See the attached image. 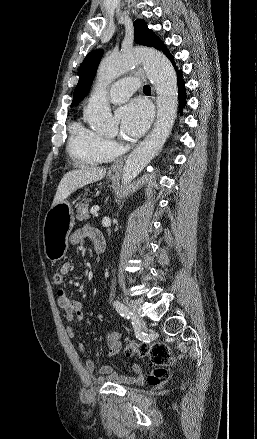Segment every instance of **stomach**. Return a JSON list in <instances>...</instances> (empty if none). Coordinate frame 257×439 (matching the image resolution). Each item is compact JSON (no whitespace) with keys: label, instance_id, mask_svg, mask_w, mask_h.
Wrapping results in <instances>:
<instances>
[{"label":"stomach","instance_id":"stomach-1","mask_svg":"<svg viewBox=\"0 0 257 439\" xmlns=\"http://www.w3.org/2000/svg\"><path fill=\"white\" fill-rule=\"evenodd\" d=\"M74 226V210L64 200L52 206L43 225V242L46 257L52 262L60 260L68 249V236Z\"/></svg>","mask_w":257,"mask_h":439}]
</instances>
